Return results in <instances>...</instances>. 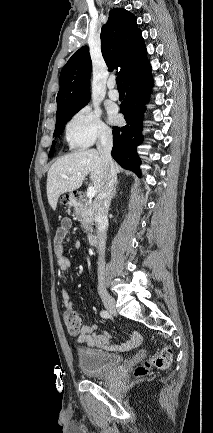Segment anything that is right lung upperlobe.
Masks as SVG:
<instances>
[{
    "mask_svg": "<svg viewBox=\"0 0 213 433\" xmlns=\"http://www.w3.org/2000/svg\"><path fill=\"white\" fill-rule=\"evenodd\" d=\"M101 51L109 70L118 72L123 83L147 61V51L136 17L129 11L116 8L101 29ZM91 58L87 46L75 52L60 74L56 119L90 99L89 82Z\"/></svg>",
    "mask_w": 213,
    "mask_h": 433,
    "instance_id": "1",
    "label": "right lung upper lobe"
}]
</instances>
